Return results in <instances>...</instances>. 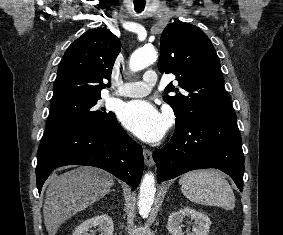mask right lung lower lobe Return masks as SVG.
<instances>
[{
    "label": "right lung lower lobe",
    "mask_w": 283,
    "mask_h": 235,
    "mask_svg": "<svg viewBox=\"0 0 283 235\" xmlns=\"http://www.w3.org/2000/svg\"><path fill=\"white\" fill-rule=\"evenodd\" d=\"M72 164L102 168L135 189L143 173L142 147L119 126L115 115L94 129L41 143L36 167L39 193L56 167Z\"/></svg>",
    "instance_id": "98d812e1"
}]
</instances>
